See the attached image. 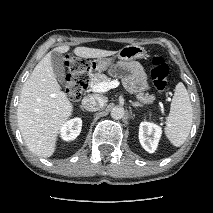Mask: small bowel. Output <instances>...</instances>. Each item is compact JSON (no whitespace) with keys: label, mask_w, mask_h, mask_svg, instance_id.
<instances>
[{"label":"small bowel","mask_w":213,"mask_h":213,"mask_svg":"<svg viewBox=\"0 0 213 213\" xmlns=\"http://www.w3.org/2000/svg\"><path fill=\"white\" fill-rule=\"evenodd\" d=\"M118 68L125 70L128 73L124 79V82L130 90L140 92L147 89L146 73L139 63H120Z\"/></svg>","instance_id":"1"}]
</instances>
